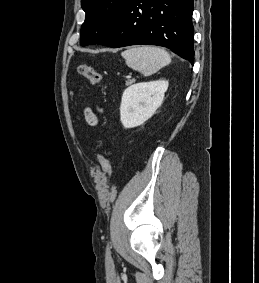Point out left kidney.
Wrapping results in <instances>:
<instances>
[{"mask_svg": "<svg viewBox=\"0 0 259 283\" xmlns=\"http://www.w3.org/2000/svg\"><path fill=\"white\" fill-rule=\"evenodd\" d=\"M168 81L158 80L136 83L128 87L120 106V119L124 128H134L151 118L161 106Z\"/></svg>", "mask_w": 259, "mask_h": 283, "instance_id": "left-kidney-1", "label": "left kidney"}]
</instances>
